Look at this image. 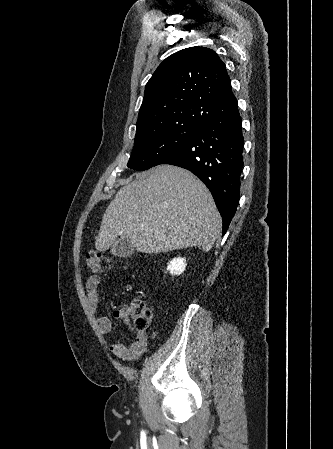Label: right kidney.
Segmentation results:
<instances>
[{
  "label": "right kidney",
  "instance_id": "1",
  "mask_svg": "<svg viewBox=\"0 0 333 449\" xmlns=\"http://www.w3.org/2000/svg\"><path fill=\"white\" fill-rule=\"evenodd\" d=\"M186 259L183 257L173 258L167 265V270L172 275H180L186 269Z\"/></svg>",
  "mask_w": 333,
  "mask_h": 449
}]
</instances>
